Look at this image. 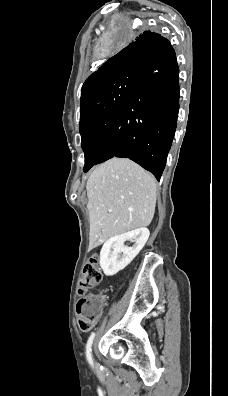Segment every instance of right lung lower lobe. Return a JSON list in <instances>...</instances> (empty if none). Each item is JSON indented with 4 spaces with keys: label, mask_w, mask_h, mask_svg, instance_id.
<instances>
[{
    "label": "right lung lower lobe",
    "mask_w": 228,
    "mask_h": 396,
    "mask_svg": "<svg viewBox=\"0 0 228 396\" xmlns=\"http://www.w3.org/2000/svg\"><path fill=\"white\" fill-rule=\"evenodd\" d=\"M179 69L170 42L147 57L95 163L129 158L159 181L175 134Z\"/></svg>",
    "instance_id": "1"
}]
</instances>
